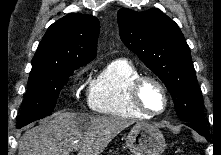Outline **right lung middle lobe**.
I'll use <instances>...</instances> for the list:
<instances>
[{"mask_svg":"<svg viewBox=\"0 0 221 155\" xmlns=\"http://www.w3.org/2000/svg\"><path fill=\"white\" fill-rule=\"evenodd\" d=\"M82 65L84 64L68 66L57 63H32L28 89L16 127L21 128L51 115L60 90L74 70Z\"/></svg>","mask_w":221,"mask_h":155,"instance_id":"obj_1","label":"right lung middle lobe"}]
</instances>
